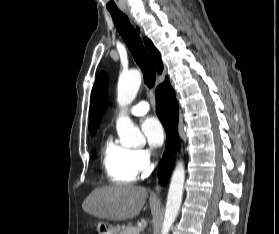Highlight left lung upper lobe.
Segmentation results:
<instances>
[{"mask_svg": "<svg viewBox=\"0 0 279 234\" xmlns=\"http://www.w3.org/2000/svg\"><path fill=\"white\" fill-rule=\"evenodd\" d=\"M107 97V76L104 72H101L96 78L91 93V104L89 110V130L91 134L95 133L96 128L100 124L108 104Z\"/></svg>", "mask_w": 279, "mask_h": 234, "instance_id": "left-lung-upper-lobe-1", "label": "left lung upper lobe"}]
</instances>
